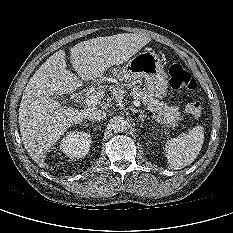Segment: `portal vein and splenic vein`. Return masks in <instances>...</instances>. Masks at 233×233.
I'll return each mask as SVG.
<instances>
[{
  "label": "portal vein and splenic vein",
  "mask_w": 233,
  "mask_h": 233,
  "mask_svg": "<svg viewBox=\"0 0 233 233\" xmlns=\"http://www.w3.org/2000/svg\"><path fill=\"white\" fill-rule=\"evenodd\" d=\"M100 101H101V97L99 95H91L84 100V103L87 106H94V105H97L98 103H100ZM133 104L137 107L140 106V102L138 100H134ZM156 117H157V119L160 118L158 116H156Z\"/></svg>",
  "instance_id": "18ae733b"
}]
</instances>
